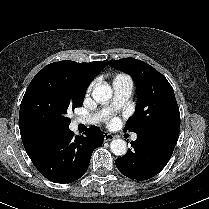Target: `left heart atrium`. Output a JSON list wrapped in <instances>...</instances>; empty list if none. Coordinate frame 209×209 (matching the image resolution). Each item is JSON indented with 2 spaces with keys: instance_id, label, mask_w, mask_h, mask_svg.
I'll return each instance as SVG.
<instances>
[{
  "instance_id": "left-heart-atrium-1",
  "label": "left heart atrium",
  "mask_w": 209,
  "mask_h": 209,
  "mask_svg": "<svg viewBox=\"0 0 209 209\" xmlns=\"http://www.w3.org/2000/svg\"><path fill=\"white\" fill-rule=\"evenodd\" d=\"M117 118L115 117H110L107 121L108 126H114L117 123Z\"/></svg>"
}]
</instances>
